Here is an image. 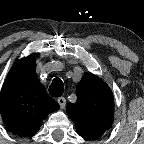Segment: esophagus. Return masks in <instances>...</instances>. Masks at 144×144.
I'll use <instances>...</instances> for the list:
<instances>
[{
  "instance_id": "obj_1",
  "label": "esophagus",
  "mask_w": 144,
  "mask_h": 144,
  "mask_svg": "<svg viewBox=\"0 0 144 144\" xmlns=\"http://www.w3.org/2000/svg\"><path fill=\"white\" fill-rule=\"evenodd\" d=\"M58 103H59L61 109H64L65 105H66V99L64 97H60V98H58Z\"/></svg>"
}]
</instances>
